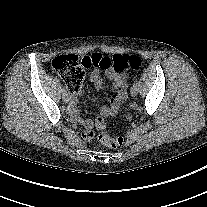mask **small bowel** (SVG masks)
Returning a JSON list of instances; mask_svg holds the SVG:
<instances>
[{
	"mask_svg": "<svg viewBox=\"0 0 207 207\" xmlns=\"http://www.w3.org/2000/svg\"><path fill=\"white\" fill-rule=\"evenodd\" d=\"M106 76L112 81L114 88L116 89V93L112 96L110 104L104 105L100 108V115L102 117H111L115 116L123 103V101L127 97V77L124 74L117 73L116 71L109 69L106 71ZM90 80L94 83L97 90L104 91V81L99 70H94L90 73ZM77 92H71L69 95V110L72 116V119L79 123L86 129H91L94 126V122L90 119H83L80 117L77 110Z\"/></svg>",
	"mask_w": 207,
	"mask_h": 207,
	"instance_id": "c3829d8e",
	"label": "small bowel"
}]
</instances>
